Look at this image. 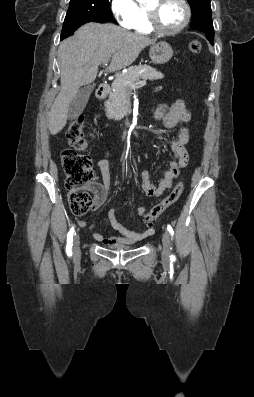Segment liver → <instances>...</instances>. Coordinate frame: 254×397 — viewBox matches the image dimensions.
Segmentation results:
<instances>
[{
  "label": "liver",
  "mask_w": 254,
  "mask_h": 397,
  "mask_svg": "<svg viewBox=\"0 0 254 397\" xmlns=\"http://www.w3.org/2000/svg\"><path fill=\"white\" fill-rule=\"evenodd\" d=\"M155 42V38L98 23H87L62 41L58 49L61 89L49 112L50 133L56 135L65 127L70 103L81 86L95 80L104 60L112 58L107 72L118 71L131 65L145 47Z\"/></svg>",
  "instance_id": "1"
}]
</instances>
